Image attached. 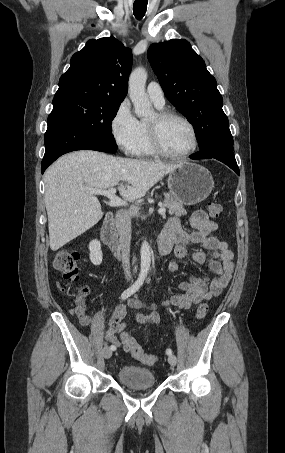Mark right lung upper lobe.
Returning a JSON list of instances; mask_svg holds the SVG:
<instances>
[{"label":"right lung upper lobe","instance_id":"1","mask_svg":"<svg viewBox=\"0 0 285 453\" xmlns=\"http://www.w3.org/2000/svg\"><path fill=\"white\" fill-rule=\"evenodd\" d=\"M131 66L132 52L120 41L114 37L91 39L72 56L53 100L103 97L123 101Z\"/></svg>","mask_w":285,"mask_h":453}]
</instances>
